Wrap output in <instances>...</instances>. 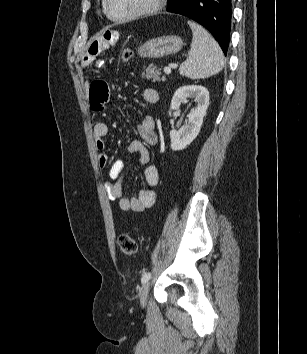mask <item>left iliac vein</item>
<instances>
[{"label":"left iliac vein","instance_id":"left-iliac-vein-1","mask_svg":"<svg viewBox=\"0 0 307 354\" xmlns=\"http://www.w3.org/2000/svg\"><path fill=\"white\" fill-rule=\"evenodd\" d=\"M149 287H150V284H149V282H147L142 286V288L140 289V292H139L140 303L143 307L146 305V302H147Z\"/></svg>","mask_w":307,"mask_h":354}]
</instances>
